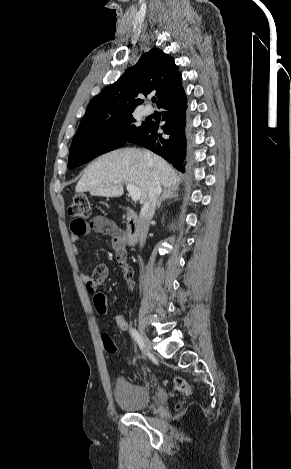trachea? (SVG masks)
Segmentation results:
<instances>
[{
    "label": "trachea",
    "instance_id": "trachea-1",
    "mask_svg": "<svg viewBox=\"0 0 291 469\" xmlns=\"http://www.w3.org/2000/svg\"><path fill=\"white\" fill-rule=\"evenodd\" d=\"M156 100H157V99H156L155 97H153V98H152V102H154V103H155V102H156Z\"/></svg>",
    "mask_w": 291,
    "mask_h": 469
}]
</instances>
